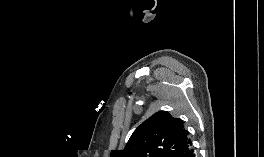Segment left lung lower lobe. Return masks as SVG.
Here are the masks:
<instances>
[{"mask_svg":"<svg viewBox=\"0 0 264 157\" xmlns=\"http://www.w3.org/2000/svg\"><path fill=\"white\" fill-rule=\"evenodd\" d=\"M189 157H196V155L194 154V150H192V152H191Z\"/></svg>","mask_w":264,"mask_h":157,"instance_id":"obj_1","label":"left lung lower lobe"}]
</instances>
